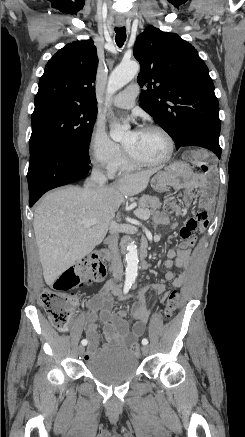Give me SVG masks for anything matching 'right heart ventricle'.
Instances as JSON below:
<instances>
[{
    "label": "right heart ventricle",
    "mask_w": 245,
    "mask_h": 437,
    "mask_svg": "<svg viewBox=\"0 0 245 437\" xmlns=\"http://www.w3.org/2000/svg\"><path fill=\"white\" fill-rule=\"evenodd\" d=\"M134 168H135V165L131 164L126 158H124L119 163V165L117 166L115 171H117V172H129V171L133 170Z\"/></svg>",
    "instance_id": "1"
}]
</instances>
